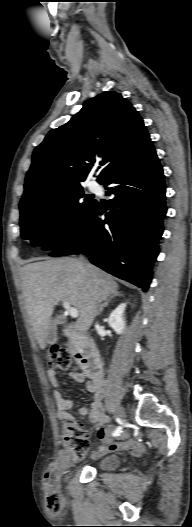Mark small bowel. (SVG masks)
<instances>
[{"mask_svg":"<svg viewBox=\"0 0 192 527\" xmlns=\"http://www.w3.org/2000/svg\"><path fill=\"white\" fill-rule=\"evenodd\" d=\"M50 383L57 389L54 391V399L57 404V417L59 420L67 421L74 419L70 413L73 401L64 398L58 380L57 372L49 369L47 372ZM72 380L78 383L86 382V389L93 395V400L89 408H81L79 413L89 419L93 429L98 430V436L103 441L96 449V455L105 452H116L127 450L134 456H139L144 452V446L131 439L127 433H121L116 441L111 440L108 435L112 431L111 427H104L108 422L105 415L103 398L105 395V381L102 377L93 376L85 372H75L71 375Z\"/></svg>","mask_w":192,"mask_h":527,"instance_id":"small-bowel-1","label":"small bowel"}]
</instances>
